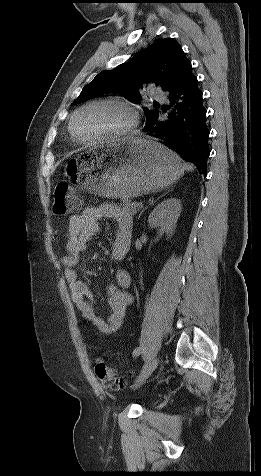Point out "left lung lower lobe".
Listing matches in <instances>:
<instances>
[{
  "mask_svg": "<svg viewBox=\"0 0 261 476\" xmlns=\"http://www.w3.org/2000/svg\"><path fill=\"white\" fill-rule=\"evenodd\" d=\"M167 119L161 115L147 123L145 131L160 139V142L179 156L193 163L200 173L207 175V159L210 154L209 129L206 124V110L202 93L192 67L185 71L176 87L169 92Z\"/></svg>",
  "mask_w": 261,
  "mask_h": 476,
  "instance_id": "1",
  "label": "left lung lower lobe"
}]
</instances>
